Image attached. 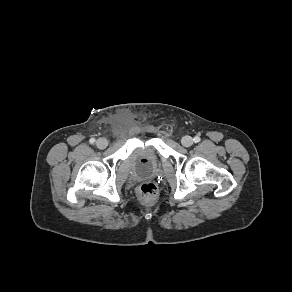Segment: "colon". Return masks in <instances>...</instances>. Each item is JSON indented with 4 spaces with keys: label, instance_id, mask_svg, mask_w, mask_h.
Instances as JSON below:
<instances>
[{
    "label": "colon",
    "instance_id": "5ec220e1",
    "mask_svg": "<svg viewBox=\"0 0 292 292\" xmlns=\"http://www.w3.org/2000/svg\"><path fill=\"white\" fill-rule=\"evenodd\" d=\"M138 195L144 204H152L158 197V187L154 182L146 181L140 185Z\"/></svg>",
    "mask_w": 292,
    "mask_h": 292
}]
</instances>
